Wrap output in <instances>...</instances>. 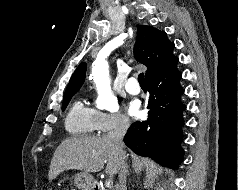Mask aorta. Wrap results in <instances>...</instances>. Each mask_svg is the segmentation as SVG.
I'll list each match as a JSON object with an SVG mask.
<instances>
[{
	"mask_svg": "<svg viewBox=\"0 0 238 190\" xmlns=\"http://www.w3.org/2000/svg\"><path fill=\"white\" fill-rule=\"evenodd\" d=\"M92 74L99 93L98 107L110 112H117L119 105L117 98L111 91L108 64L106 62H95Z\"/></svg>",
	"mask_w": 238,
	"mask_h": 190,
	"instance_id": "1",
	"label": "aorta"
}]
</instances>
